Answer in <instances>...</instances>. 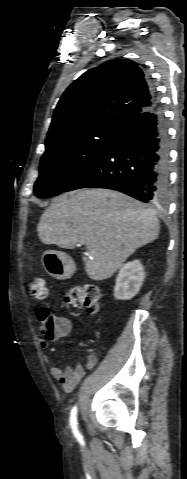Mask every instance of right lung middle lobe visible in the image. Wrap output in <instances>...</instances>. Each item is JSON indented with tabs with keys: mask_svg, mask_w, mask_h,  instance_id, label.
I'll return each mask as SVG.
<instances>
[{
	"mask_svg": "<svg viewBox=\"0 0 187 479\" xmlns=\"http://www.w3.org/2000/svg\"><path fill=\"white\" fill-rule=\"evenodd\" d=\"M120 130L96 125L71 130L47 142L34 194L48 198L64 192L106 150Z\"/></svg>",
	"mask_w": 187,
	"mask_h": 479,
	"instance_id": "obj_1",
	"label": "right lung middle lobe"
}]
</instances>
